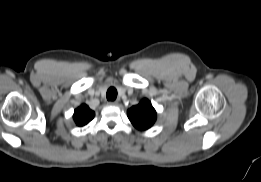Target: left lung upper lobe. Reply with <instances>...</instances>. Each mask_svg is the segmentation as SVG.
<instances>
[{
  "instance_id": "left-lung-upper-lobe-1",
  "label": "left lung upper lobe",
  "mask_w": 261,
  "mask_h": 182,
  "mask_svg": "<svg viewBox=\"0 0 261 182\" xmlns=\"http://www.w3.org/2000/svg\"><path fill=\"white\" fill-rule=\"evenodd\" d=\"M127 115L131 123L139 130L150 128L156 121V111L148 99L128 109Z\"/></svg>"
}]
</instances>
